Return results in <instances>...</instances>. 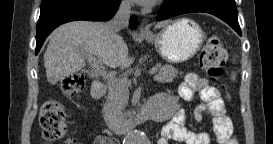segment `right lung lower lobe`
I'll use <instances>...</instances> for the list:
<instances>
[{
  "label": "right lung lower lobe",
  "instance_id": "98d812e1",
  "mask_svg": "<svg viewBox=\"0 0 273 144\" xmlns=\"http://www.w3.org/2000/svg\"><path fill=\"white\" fill-rule=\"evenodd\" d=\"M121 0H43L37 24L36 54L46 37L59 25L75 21L109 20L117 11ZM136 17L132 16L130 27L135 28Z\"/></svg>",
  "mask_w": 273,
  "mask_h": 144
}]
</instances>
